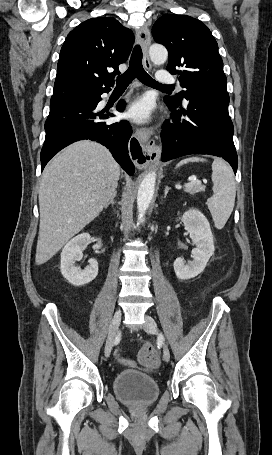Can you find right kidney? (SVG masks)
<instances>
[{"instance_id": "1", "label": "right kidney", "mask_w": 272, "mask_h": 455, "mask_svg": "<svg viewBox=\"0 0 272 455\" xmlns=\"http://www.w3.org/2000/svg\"><path fill=\"white\" fill-rule=\"evenodd\" d=\"M91 240L88 233L79 234L71 239L61 252V273L72 285L82 286L88 284L98 275V262L95 259H90L89 266L84 270L75 266V262L82 259V251L87 247ZM101 247V240H98L93 248L100 249Z\"/></svg>"}]
</instances>
